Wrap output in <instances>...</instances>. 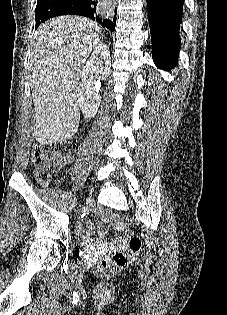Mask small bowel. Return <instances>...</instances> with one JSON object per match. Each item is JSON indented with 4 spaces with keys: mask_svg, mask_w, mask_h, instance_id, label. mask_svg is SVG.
I'll list each match as a JSON object with an SVG mask.
<instances>
[{
    "mask_svg": "<svg viewBox=\"0 0 227 315\" xmlns=\"http://www.w3.org/2000/svg\"><path fill=\"white\" fill-rule=\"evenodd\" d=\"M97 230H98V232H99L100 234H104V233H105V227H104V225H102V224L98 225V226H97ZM84 236H85V238H89V237H90V233H89V232H86Z\"/></svg>",
    "mask_w": 227,
    "mask_h": 315,
    "instance_id": "1",
    "label": "small bowel"
}]
</instances>
